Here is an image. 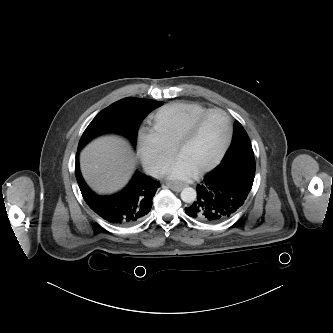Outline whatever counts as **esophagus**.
Listing matches in <instances>:
<instances>
[{
	"label": "esophagus",
	"instance_id": "esophagus-1",
	"mask_svg": "<svg viewBox=\"0 0 333 333\" xmlns=\"http://www.w3.org/2000/svg\"><path fill=\"white\" fill-rule=\"evenodd\" d=\"M167 186L173 191L180 192L186 184L183 183H168Z\"/></svg>",
	"mask_w": 333,
	"mask_h": 333
}]
</instances>
